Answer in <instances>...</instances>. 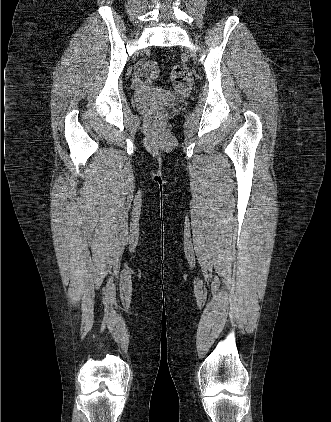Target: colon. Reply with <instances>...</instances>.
<instances>
[{"instance_id":"obj_1","label":"colon","mask_w":331,"mask_h":422,"mask_svg":"<svg viewBox=\"0 0 331 422\" xmlns=\"http://www.w3.org/2000/svg\"><path fill=\"white\" fill-rule=\"evenodd\" d=\"M142 75L148 79H154L159 74V67L155 61H146L141 69ZM171 78L174 85L180 89L185 88V81L187 79V71L183 65H174L171 71ZM164 114L163 110H158L155 115L161 117Z\"/></svg>"}]
</instances>
